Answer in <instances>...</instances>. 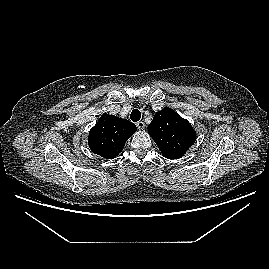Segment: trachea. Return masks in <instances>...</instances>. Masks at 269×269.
Returning <instances> with one entry per match:
<instances>
[{"mask_svg":"<svg viewBox=\"0 0 269 269\" xmlns=\"http://www.w3.org/2000/svg\"><path fill=\"white\" fill-rule=\"evenodd\" d=\"M130 118L134 122L139 121L141 118V112L138 109H134L130 114Z\"/></svg>","mask_w":269,"mask_h":269,"instance_id":"1","label":"trachea"}]
</instances>
